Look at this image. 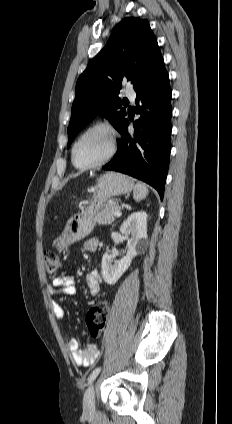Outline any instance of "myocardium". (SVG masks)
<instances>
[{"label": "myocardium", "instance_id": "1", "mask_svg": "<svg viewBox=\"0 0 232 424\" xmlns=\"http://www.w3.org/2000/svg\"><path fill=\"white\" fill-rule=\"evenodd\" d=\"M94 130H102L105 131L109 137H110V148L109 151L107 152V154L102 157L100 160L91 163L89 165H85V166H81L78 165L76 163V158H75V153H76V148L79 144V142L81 141V139L86 136L88 133L94 131ZM117 147H118V133L116 131V129L105 122H99V123H95L93 125H91L90 127H88L86 130H84L75 140V142L73 143L72 149H71V160L73 165L79 169V170H88V169H92V168H96L99 167L105 163H107L109 160H111L113 158V156L115 155L116 151H117Z\"/></svg>", "mask_w": 232, "mask_h": 424}]
</instances>
